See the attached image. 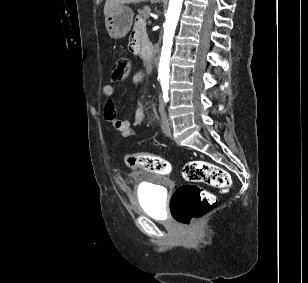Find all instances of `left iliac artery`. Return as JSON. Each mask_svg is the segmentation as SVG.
<instances>
[{
    "label": "left iliac artery",
    "mask_w": 308,
    "mask_h": 283,
    "mask_svg": "<svg viewBox=\"0 0 308 283\" xmlns=\"http://www.w3.org/2000/svg\"><path fill=\"white\" fill-rule=\"evenodd\" d=\"M164 101L167 102L169 100L167 92L163 94Z\"/></svg>",
    "instance_id": "44dca946"
}]
</instances>
